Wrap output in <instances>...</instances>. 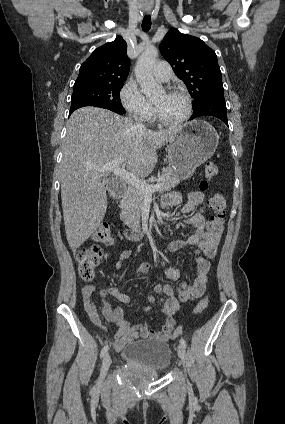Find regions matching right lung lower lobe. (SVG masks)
<instances>
[{
  "label": "right lung lower lobe",
  "instance_id": "1",
  "mask_svg": "<svg viewBox=\"0 0 285 424\" xmlns=\"http://www.w3.org/2000/svg\"><path fill=\"white\" fill-rule=\"evenodd\" d=\"M84 106H95V107L105 108V109L111 110L113 112H116L118 114H124L125 113V111L116 110V109H113V108L108 107V106H103V105H98V104H95V103L81 101V102L71 103L69 115H71L76 109L84 107Z\"/></svg>",
  "mask_w": 285,
  "mask_h": 424
}]
</instances>
